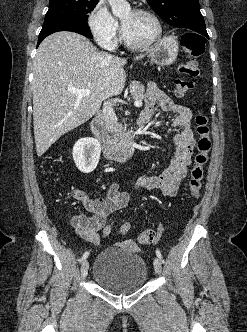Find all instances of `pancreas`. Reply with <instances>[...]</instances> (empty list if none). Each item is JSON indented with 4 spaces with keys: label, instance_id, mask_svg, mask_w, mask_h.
Returning a JSON list of instances; mask_svg holds the SVG:
<instances>
[{
    "label": "pancreas",
    "instance_id": "1",
    "mask_svg": "<svg viewBox=\"0 0 247 332\" xmlns=\"http://www.w3.org/2000/svg\"><path fill=\"white\" fill-rule=\"evenodd\" d=\"M130 92L135 100H143L145 87L140 82H133L130 85ZM115 136L114 142L117 145L123 144L129 138V134L126 132L125 128L121 124H117L114 128Z\"/></svg>",
    "mask_w": 247,
    "mask_h": 332
}]
</instances>
